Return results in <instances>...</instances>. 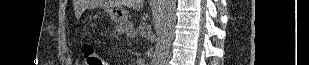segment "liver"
I'll return each mask as SVG.
<instances>
[{
	"mask_svg": "<svg viewBox=\"0 0 309 65\" xmlns=\"http://www.w3.org/2000/svg\"><path fill=\"white\" fill-rule=\"evenodd\" d=\"M143 1L144 0H116V1H113L111 3H107L106 5H113V6H121V5H124V6H127L129 8H134V9H137V8H141L143 6Z\"/></svg>",
	"mask_w": 309,
	"mask_h": 65,
	"instance_id": "6515ba94",
	"label": "liver"
}]
</instances>
